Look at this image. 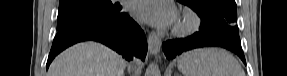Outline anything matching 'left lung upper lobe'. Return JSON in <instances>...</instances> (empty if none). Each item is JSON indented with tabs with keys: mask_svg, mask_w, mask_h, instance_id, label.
Returning <instances> with one entry per match:
<instances>
[{
	"mask_svg": "<svg viewBox=\"0 0 287 76\" xmlns=\"http://www.w3.org/2000/svg\"><path fill=\"white\" fill-rule=\"evenodd\" d=\"M192 8L212 30L239 37L235 0H177Z\"/></svg>",
	"mask_w": 287,
	"mask_h": 76,
	"instance_id": "1",
	"label": "left lung upper lobe"
}]
</instances>
